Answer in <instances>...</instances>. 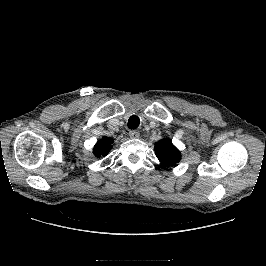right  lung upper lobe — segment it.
<instances>
[{"instance_id": "right-lung-upper-lobe-1", "label": "right lung upper lobe", "mask_w": 266, "mask_h": 266, "mask_svg": "<svg viewBox=\"0 0 266 266\" xmlns=\"http://www.w3.org/2000/svg\"><path fill=\"white\" fill-rule=\"evenodd\" d=\"M113 139L104 136L101 140H99L93 148V153L96 157H104L106 156L110 149L112 148Z\"/></svg>"}]
</instances>
